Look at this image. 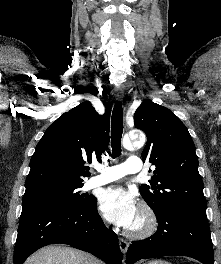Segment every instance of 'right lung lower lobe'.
<instances>
[{
    "instance_id": "1",
    "label": "right lung lower lobe",
    "mask_w": 221,
    "mask_h": 264,
    "mask_svg": "<svg viewBox=\"0 0 221 264\" xmlns=\"http://www.w3.org/2000/svg\"><path fill=\"white\" fill-rule=\"evenodd\" d=\"M57 243L87 251L107 264L122 263L118 237L104 225L96 198L78 210L39 205L22 208L14 264H23L39 248Z\"/></svg>"
}]
</instances>
